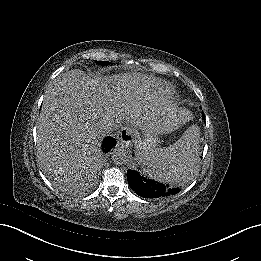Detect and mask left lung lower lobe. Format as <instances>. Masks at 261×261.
Instances as JSON below:
<instances>
[{
    "label": "left lung lower lobe",
    "instance_id": "left-lung-lower-lobe-1",
    "mask_svg": "<svg viewBox=\"0 0 261 261\" xmlns=\"http://www.w3.org/2000/svg\"><path fill=\"white\" fill-rule=\"evenodd\" d=\"M189 172L185 170V175L188 176ZM127 180L132 190L139 196L147 199H163L175 195L180 191L177 187L167 186L141 176L135 170L128 169Z\"/></svg>",
    "mask_w": 261,
    "mask_h": 261
}]
</instances>
